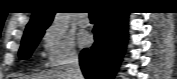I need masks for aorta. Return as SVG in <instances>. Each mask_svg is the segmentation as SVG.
Masks as SVG:
<instances>
[{
  "label": "aorta",
  "mask_w": 177,
  "mask_h": 79,
  "mask_svg": "<svg viewBox=\"0 0 177 79\" xmlns=\"http://www.w3.org/2000/svg\"><path fill=\"white\" fill-rule=\"evenodd\" d=\"M69 21L66 13H57L52 23V27L58 31L64 32L68 29Z\"/></svg>",
  "instance_id": "obj_1"
}]
</instances>
